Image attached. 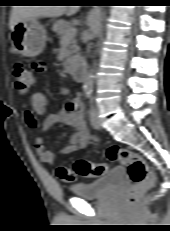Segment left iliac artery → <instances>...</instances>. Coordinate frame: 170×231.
I'll return each instance as SVG.
<instances>
[{"label":"left iliac artery","mask_w":170,"mask_h":231,"mask_svg":"<svg viewBox=\"0 0 170 231\" xmlns=\"http://www.w3.org/2000/svg\"><path fill=\"white\" fill-rule=\"evenodd\" d=\"M90 94H91V92H89V94L87 95V97H90Z\"/></svg>","instance_id":"obj_1"}]
</instances>
